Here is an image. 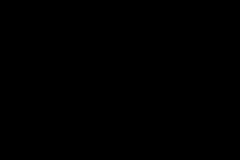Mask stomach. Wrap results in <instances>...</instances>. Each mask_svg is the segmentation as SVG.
Returning a JSON list of instances; mask_svg holds the SVG:
<instances>
[{
	"instance_id": "1",
	"label": "stomach",
	"mask_w": 240,
	"mask_h": 160,
	"mask_svg": "<svg viewBox=\"0 0 240 160\" xmlns=\"http://www.w3.org/2000/svg\"><path fill=\"white\" fill-rule=\"evenodd\" d=\"M116 38L122 48H140L149 56H154L158 48L157 38L146 30L121 28L117 31Z\"/></svg>"
}]
</instances>
